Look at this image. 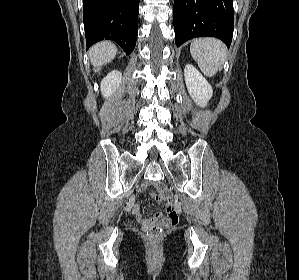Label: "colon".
<instances>
[{
  "label": "colon",
  "mask_w": 299,
  "mask_h": 280,
  "mask_svg": "<svg viewBox=\"0 0 299 280\" xmlns=\"http://www.w3.org/2000/svg\"><path fill=\"white\" fill-rule=\"evenodd\" d=\"M160 195L157 199L162 201L165 206V214H156L150 224L146 227L147 234L151 240H157L165 228L174 226L178 223V215L173 208V201L167 195V190L163 184H158Z\"/></svg>",
  "instance_id": "obj_1"
}]
</instances>
